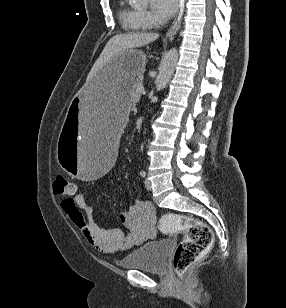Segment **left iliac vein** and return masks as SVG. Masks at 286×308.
I'll use <instances>...</instances> for the list:
<instances>
[{
  "label": "left iliac vein",
  "mask_w": 286,
  "mask_h": 308,
  "mask_svg": "<svg viewBox=\"0 0 286 308\" xmlns=\"http://www.w3.org/2000/svg\"><path fill=\"white\" fill-rule=\"evenodd\" d=\"M145 187L148 191H151L152 190V185H151V181L149 179H145Z\"/></svg>",
  "instance_id": "1"
}]
</instances>
